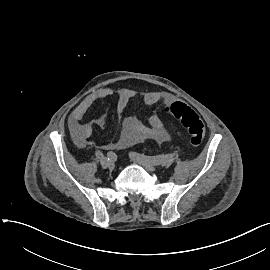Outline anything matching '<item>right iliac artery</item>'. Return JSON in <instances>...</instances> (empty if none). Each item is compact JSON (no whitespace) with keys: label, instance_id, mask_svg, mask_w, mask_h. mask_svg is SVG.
<instances>
[{"label":"right iliac artery","instance_id":"right-iliac-artery-1","mask_svg":"<svg viewBox=\"0 0 270 270\" xmlns=\"http://www.w3.org/2000/svg\"><path fill=\"white\" fill-rule=\"evenodd\" d=\"M107 158L109 161H116L117 155L113 151H110L107 153Z\"/></svg>","mask_w":270,"mask_h":270}]
</instances>
